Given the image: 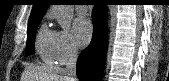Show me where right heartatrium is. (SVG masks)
Here are the masks:
<instances>
[{
	"label": "right heart atrium",
	"mask_w": 169,
	"mask_h": 81,
	"mask_svg": "<svg viewBox=\"0 0 169 81\" xmlns=\"http://www.w3.org/2000/svg\"><path fill=\"white\" fill-rule=\"evenodd\" d=\"M52 48L54 58L59 63H64L74 57L77 46L68 31L58 30L53 32Z\"/></svg>",
	"instance_id": "d8ad5b80"
}]
</instances>
